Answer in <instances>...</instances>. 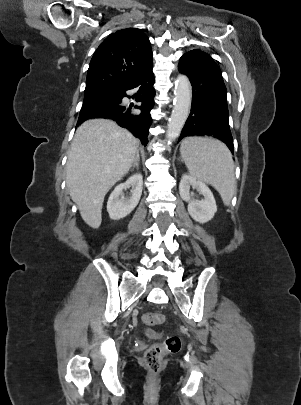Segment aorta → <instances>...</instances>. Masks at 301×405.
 <instances>
[{
  "label": "aorta",
  "mask_w": 301,
  "mask_h": 405,
  "mask_svg": "<svg viewBox=\"0 0 301 405\" xmlns=\"http://www.w3.org/2000/svg\"><path fill=\"white\" fill-rule=\"evenodd\" d=\"M174 95V107L166 133L168 143L178 138L190 112L191 84L186 75H178L175 82Z\"/></svg>",
  "instance_id": "762f6f07"
}]
</instances>
